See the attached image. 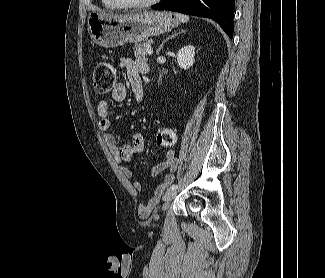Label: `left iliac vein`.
Instances as JSON below:
<instances>
[{
  "mask_svg": "<svg viewBox=\"0 0 325 278\" xmlns=\"http://www.w3.org/2000/svg\"><path fill=\"white\" fill-rule=\"evenodd\" d=\"M176 195H177V190L176 189H174V190L169 189V190H167V192L163 196V200L168 203V202L172 201L175 198Z\"/></svg>",
  "mask_w": 325,
  "mask_h": 278,
  "instance_id": "obj_1",
  "label": "left iliac vein"
}]
</instances>
